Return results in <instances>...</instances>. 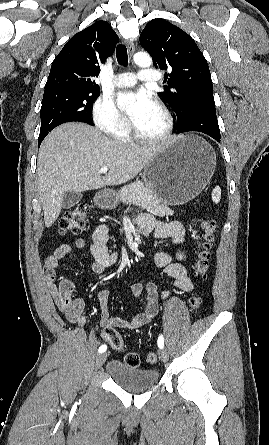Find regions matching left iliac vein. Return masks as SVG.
I'll use <instances>...</instances> for the list:
<instances>
[{"label":"left iliac vein","mask_w":269,"mask_h":445,"mask_svg":"<svg viewBox=\"0 0 269 445\" xmlns=\"http://www.w3.org/2000/svg\"><path fill=\"white\" fill-rule=\"evenodd\" d=\"M159 358L163 362H167L168 360V352L165 348H161L159 351Z\"/></svg>","instance_id":"left-iliac-vein-1"}]
</instances>
